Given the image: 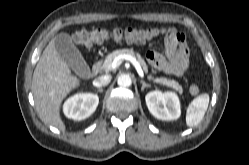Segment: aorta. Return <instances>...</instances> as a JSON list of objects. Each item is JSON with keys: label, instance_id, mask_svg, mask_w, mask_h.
<instances>
[{"label": "aorta", "instance_id": "obj_1", "mask_svg": "<svg viewBox=\"0 0 249 165\" xmlns=\"http://www.w3.org/2000/svg\"><path fill=\"white\" fill-rule=\"evenodd\" d=\"M117 83L120 87H129L131 86L132 81L129 75L122 74L118 77Z\"/></svg>", "mask_w": 249, "mask_h": 165}]
</instances>
